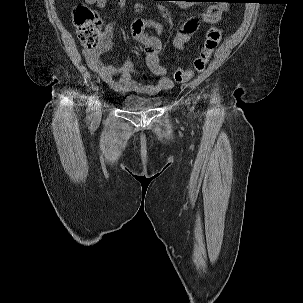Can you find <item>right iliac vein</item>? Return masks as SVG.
Here are the masks:
<instances>
[{
    "instance_id": "1",
    "label": "right iliac vein",
    "mask_w": 303,
    "mask_h": 303,
    "mask_svg": "<svg viewBox=\"0 0 303 303\" xmlns=\"http://www.w3.org/2000/svg\"><path fill=\"white\" fill-rule=\"evenodd\" d=\"M102 116V104L100 101L96 102L94 111H93V121L98 122Z\"/></svg>"
}]
</instances>
